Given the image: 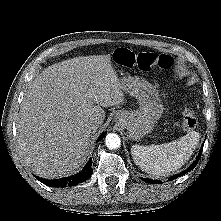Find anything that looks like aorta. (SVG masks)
<instances>
[{
    "mask_svg": "<svg viewBox=\"0 0 221 221\" xmlns=\"http://www.w3.org/2000/svg\"><path fill=\"white\" fill-rule=\"evenodd\" d=\"M105 144L109 149H117L121 145L120 137L115 133H110L105 138Z\"/></svg>",
    "mask_w": 221,
    "mask_h": 221,
    "instance_id": "aorta-1",
    "label": "aorta"
}]
</instances>
